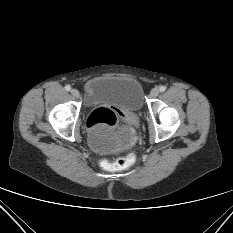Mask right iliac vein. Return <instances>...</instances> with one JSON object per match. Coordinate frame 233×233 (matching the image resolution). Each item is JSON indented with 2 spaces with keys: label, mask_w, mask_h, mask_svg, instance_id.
Segmentation results:
<instances>
[{
  "label": "right iliac vein",
  "mask_w": 233,
  "mask_h": 233,
  "mask_svg": "<svg viewBox=\"0 0 233 233\" xmlns=\"http://www.w3.org/2000/svg\"><path fill=\"white\" fill-rule=\"evenodd\" d=\"M71 94L74 96V97H76V98H78L79 97V91L77 90V89H72L71 90Z\"/></svg>",
  "instance_id": "obj_1"
}]
</instances>
